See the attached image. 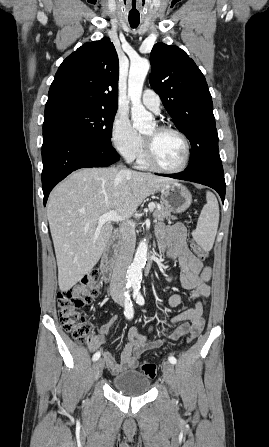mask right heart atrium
Instances as JSON below:
<instances>
[{"mask_svg":"<svg viewBox=\"0 0 269 447\" xmlns=\"http://www.w3.org/2000/svg\"><path fill=\"white\" fill-rule=\"evenodd\" d=\"M111 142L129 160L137 157L142 145V137L133 129L128 116L119 111L112 121Z\"/></svg>","mask_w":269,"mask_h":447,"instance_id":"right-heart-atrium-1","label":"right heart atrium"}]
</instances>
